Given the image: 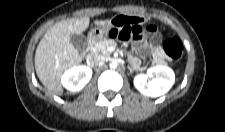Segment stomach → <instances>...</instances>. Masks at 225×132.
I'll return each mask as SVG.
<instances>
[{"mask_svg": "<svg viewBox=\"0 0 225 132\" xmlns=\"http://www.w3.org/2000/svg\"><path fill=\"white\" fill-rule=\"evenodd\" d=\"M112 27V24H111V21L110 23L104 25V26H99V27H96L94 29H92L90 32H89V38L92 42H98V41H101L103 39H106L108 37V33H109V30L111 29Z\"/></svg>", "mask_w": 225, "mask_h": 132, "instance_id": "obj_1", "label": "stomach"}]
</instances>
